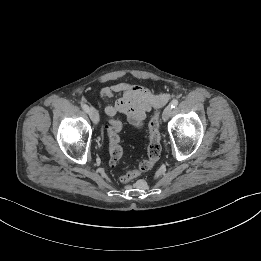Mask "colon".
I'll list each match as a JSON object with an SVG mask.
<instances>
[{
  "instance_id": "5ec220e1",
  "label": "colon",
  "mask_w": 261,
  "mask_h": 261,
  "mask_svg": "<svg viewBox=\"0 0 261 261\" xmlns=\"http://www.w3.org/2000/svg\"><path fill=\"white\" fill-rule=\"evenodd\" d=\"M122 124L117 119H112L107 126V133L109 138V154L110 164L115 166L119 163L124 151L120 144V132ZM161 136L159 131V115L155 112L149 122V144L147 149L148 157L140 161L138 170H128L120 177L121 182L127 183L139 175V172L150 170L160 159L161 156Z\"/></svg>"
}]
</instances>
